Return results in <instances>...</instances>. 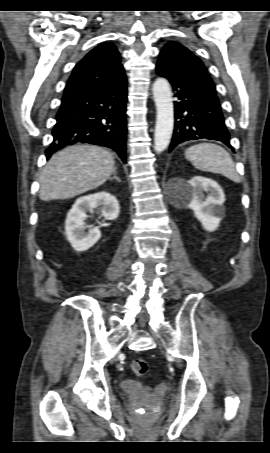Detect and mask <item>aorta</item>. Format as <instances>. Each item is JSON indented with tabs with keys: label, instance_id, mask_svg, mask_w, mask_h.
<instances>
[{
	"label": "aorta",
	"instance_id": "762f6f07",
	"mask_svg": "<svg viewBox=\"0 0 270 453\" xmlns=\"http://www.w3.org/2000/svg\"><path fill=\"white\" fill-rule=\"evenodd\" d=\"M157 117L154 133V149L163 152L169 145L174 126V107L169 82L157 78L152 87Z\"/></svg>",
	"mask_w": 270,
	"mask_h": 453
}]
</instances>
